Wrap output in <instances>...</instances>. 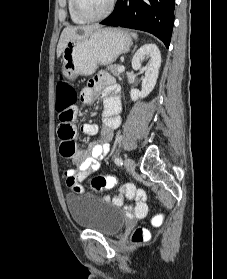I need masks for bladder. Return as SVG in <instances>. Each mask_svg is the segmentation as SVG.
<instances>
[{"label":"bladder","mask_w":227,"mask_h":279,"mask_svg":"<svg viewBox=\"0 0 227 279\" xmlns=\"http://www.w3.org/2000/svg\"><path fill=\"white\" fill-rule=\"evenodd\" d=\"M66 203L75 225L80 228L114 235L124 226L121 209L92 193H69L66 195Z\"/></svg>","instance_id":"1"}]
</instances>
